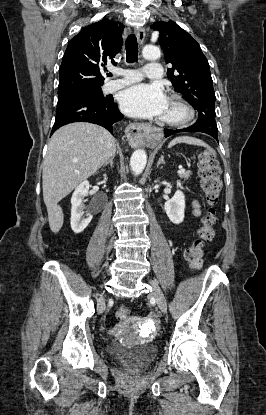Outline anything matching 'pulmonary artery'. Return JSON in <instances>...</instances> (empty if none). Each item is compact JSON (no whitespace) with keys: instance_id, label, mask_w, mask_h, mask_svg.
I'll return each instance as SVG.
<instances>
[{"instance_id":"obj_1","label":"pulmonary artery","mask_w":266,"mask_h":415,"mask_svg":"<svg viewBox=\"0 0 266 415\" xmlns=\"http://www.w3.org/2000/svg\"><path fill=\"white\" fill-rule=\"evenodd\" d=\"M146 77L150 79H160L162 77V66L160 63H148L143 70ZM118 75L123 76L121 79L112 80L107 83L106 90L113 92L121 89L129 84L137 82L141 79L142 75L137 70H120L117 71Z\"/></svg>"}]
</instances>
